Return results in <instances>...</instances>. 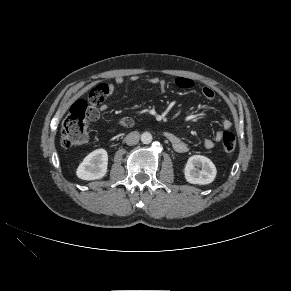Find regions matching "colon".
Wrapping results in <instances>:
<instances>
[{"mask_svg": "<svg viewBox=\"0 0 291 291\" xmlns=\"http://www.w3.org/2000/svg\"><path fill=\"white\" fill-rule=\"evenodd\" d=\"M104 88L96 87L89 95V101L80 99L73 103L62 124L61 143L65 148H72L83 144L88 139L90 121L92 120V106L101 102ZM124 127L133 124L132 119L126 117L121 121ZM222 147L225 152L232 153L236 148L235 135L230 131L222 133Z\"/></svg>", "mask_w": 291, "mask_h": 291, "instance_id": "5ec220e1", "label": "colon"}]
</instances>
